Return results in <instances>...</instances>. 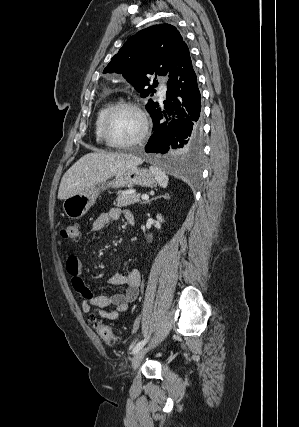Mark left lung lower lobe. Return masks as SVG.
Segmentation results:
<instances>
[{
  "instance_id": "left-lung-lower-lobe-1",
  "label": "left lung lower lobe",
  "mask_w": 299,
  "mask_h": 427,
  "mask_svg": "<svg viewBox=\"0 0 299 427\" xmlns=\"http://www.w3.org/2000/svg\"><path fill=\"white\" fill-rule=\"evenodd\" d=\"M164 105L151 113L153 134L145 147L161 161H190L202 153L201 95L187 44L182 41L168 72Z\"/></svg>"
}]
</instances>
